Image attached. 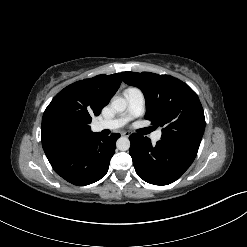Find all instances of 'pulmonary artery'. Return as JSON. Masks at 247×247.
Here are the masks:
<instances>
[{"mask_svg":"<svg viewBox=\"0 0 247 247\" xmlns=\"http://www.w3.org/2000/svg\"><path fill=\"white\" fill-rule=\"evenodd\" d=\"M125 99L127 101V109L126 111L116 117L114 119L103 120L96 123V130H104V129H118L124 126L131 119L141 115L144 111L145 107V98L142 91L138 88H128L124 92ZM161 131H156L152 135V139L154 141H158L161 138Z\"/></svg>","mask_w":247,"mask_h":247,"instance_id":"1","label":"pulmonary artery"}]
</instances>
